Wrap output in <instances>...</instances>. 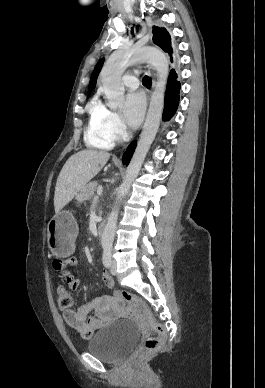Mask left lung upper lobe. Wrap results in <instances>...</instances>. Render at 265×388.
Wrapping results in <instances>:
<instances>
[{"label":"left lung upper lobe","mask_w":265,"mask_h":388,"mask_svg":"<svg viewBox=\"0 0 265 388\" xmlns=\"http://www.w3.org/2000/svg\"><path fill=\"white\" fill-rule=\"evenodd\" d=\"M153 42L159 45L165 52H168L172 60L171 38L165 28L153 27Z\"/></svg>","instance_id":"1"}]
</instances>
